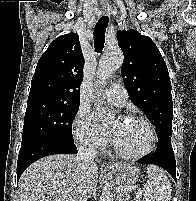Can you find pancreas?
I'll use <instances>...</instances> for the list:
<instances>
[{
	"instance_id": "obj_1",
	"label": "pancreas",
	"mask_w": 196,
	"mask_h": 201,
	"mask_svg": "<svg viewBox=\"0 0 196 201\" xmlns=\"http://www.w3.org/2000/svg\"><path fill=\"white\" fill-rule=\"evenodd\" d=\"M129 200V194L127 192H121L119 194V200L118 201H128Z\"/></svg>"
}]
</instances>
